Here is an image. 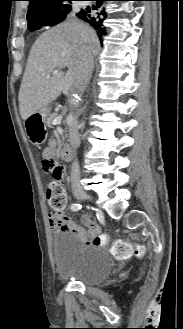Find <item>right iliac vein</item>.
Instances as JSON below:
<instances>
[{
  "mask_svg": "<svg viewBox=\"0 0 183 329\" xmlns=\"http://www.w3.org/2000/svg\"><path fill=\"white\" fill-rule=\"evenodd\" d=\"M76 197L78 199H86V200H92L93 197L91 195H89L87 192H85L84 190H78L76 192Z\"/></svg>",
  "mask_w": 183,
  "mask_h": 329,
  "instance_id": "63e3f726",
  "label": "right iliac vein"
}]
</instances>
